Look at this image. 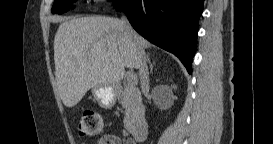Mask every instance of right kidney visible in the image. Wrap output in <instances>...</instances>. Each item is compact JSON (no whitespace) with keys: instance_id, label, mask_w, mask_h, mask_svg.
Here are the masks:
<instances>
[{"instance_id":"ca27d5eb","label":"right kidney","mask_w":273,"mask_h":144,"mask_svg":"<svg viewBox=\"0 0 273 144\" xmlns=\"http://www.w3.org/2000/svg\"><path fill=\"white\" fill-rule=\"evenodd\" d=\"M157 89L159 92L163 93L165 96L172 97V91L168 87L159 86Z\"/></svg>"}]
</instances>
